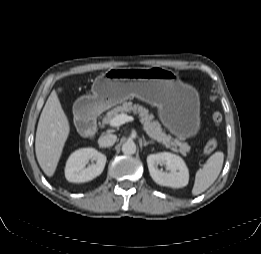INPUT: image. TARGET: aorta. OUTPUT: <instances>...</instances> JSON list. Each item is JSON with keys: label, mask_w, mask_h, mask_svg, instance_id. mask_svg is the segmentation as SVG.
Returning <instances> with one entry per match:
<instances>
[{"label": "aorta", "mask_w": 261, "mask_h": 254, "mask_svg": "<svg viewBox=\"0 0 261 254\" xmlns=\"http://www.w3.org/2000/svg\"><path fill=\"white\" fill-rule=\"evenodd\" d=\"M122 152L126 155H132L136 152V144L133 141H127L122 145Z\"/></svg>", "instance_id": "1"}]
</instances>
